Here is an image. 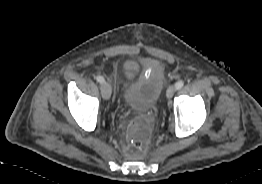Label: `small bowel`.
Instances as JSON below:
<instances>
[{
    "instance_id": "obj_1",
    "label": "small bowel",
    "mask_w": 262,
    "mask_h": 184,
    "mask_svg": "<svg viewBox=\"0 0 262 184\" xmlns=\"http://www.w3.org/2000/svg\"><path fill=\"white\" fill-rule=\"evenodd\" d=\"M128 66H129V68H134L135 64L134 63H129Z\"/></svg>"
}]
</instances>
